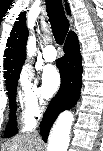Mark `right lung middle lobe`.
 I'll list each match as a JSON object with an SVG mask.
<instances>
[{
	"label": "right lung middle lobe",
	"mask_w": 103,
	"mask_h": 151,
	"mask_svg": "<svg viewBox=\"0 0 103 151\" xmlns=\"http://www.w3.org/2000/svg\"><path fill=\"white\" fill-rule=\"evenodd\" d=\"M18 79L11 82L6 83L7 94L9 98L10 105V117L5 129L4 136L6 138L12 137L17 133V124H16V88H17Z\"/></svg>",
	"instance_id": "right-lung-middle-lobe-1"
}]
</instances>
